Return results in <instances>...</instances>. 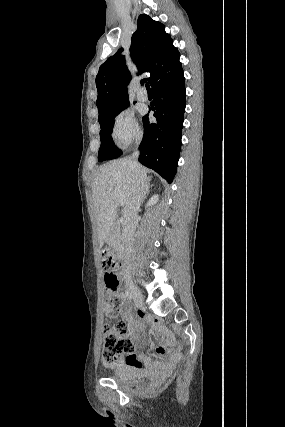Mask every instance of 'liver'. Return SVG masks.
Wrapping results in <instances>:
<instances>
[{"label":"liver","instance_id":"liver-1","mask_svg":"<svg viewBox=\"0 0 285 427\" xmlns=\"http://www.w3.org/2000/svg\"><path fill=\"white\" fill-rule=\"evenodd\" d=\"M146 176L148 170L139 165ZM134 188L133 172L129 159L123 158L102 166L96 173L92 185L94 217L98 229L100 247L103 246L117 218L118 194H122L125 204L129 201Z\"/></svg>","mask_w":285,"mask_h":427}]
</instances>
